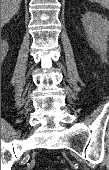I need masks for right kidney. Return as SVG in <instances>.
<instances>
[{"instance_id":"ca27d5eb","label":"right kidney","mask_w":109,"mask_h":170,"mask_svg":"<svg viewBox=\"0 0 109 170\" xmlns=\"http://www.w3.org/2000/svg\"><path fill=\"white\" fill-rule=\"evenodd\" d=\"M7 52H8V43L6 41H2V43H1L2 59L5 58Z\"/></svg>"}]
</instances>
